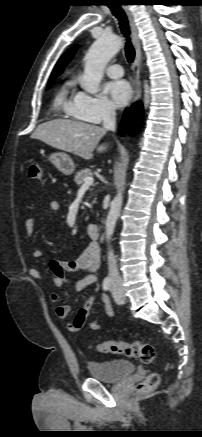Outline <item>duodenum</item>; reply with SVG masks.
<instances>
[{"label": "duodenum", "mask_w": 202, "mask_h": 437, "mask_svg": "<svg viewBox=\"0 0 202 437\" xmlns=\"http://www.w3.org/2000/svg\"><path fill=\"white\" fill-rule=\"evenodd\" d=\"M86 231L91 239H97L99 236V227L95 223L88 224Z\"/></svg>", "instance_id": "duodenum-1"}]
</instances>
